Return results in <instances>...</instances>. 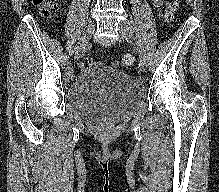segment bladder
Returning a JSON list of instances; mask_svg holds the SVG:
<instances>
[{
  "label": "bladder",
  "mask_w": 219,
  "mask_h": 192,
  "mask_svg": "<svg viewBox=\"0 0 219 192\" xmlns=\"http://www.w3.org/2000/svg\"><path fill=\"white\" fill-rule=\"evenodd\" d=\"M66 101L81 117L93 122H120L146 99L142 82L110 66L84 70L66 87Z\"/></svg>",
  "instance_id": "31cf9c89"
}]
</instances>
